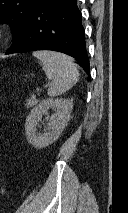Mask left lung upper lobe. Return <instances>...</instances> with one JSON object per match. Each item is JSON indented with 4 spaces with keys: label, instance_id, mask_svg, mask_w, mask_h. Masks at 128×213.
Here are the masks:
<instances>
[{
    "label": "left lung upper lobe",
    "instance_id": "5c2ea615",
    "mask_svg": "<svg viewBox=\"0 0 128 213\" xmlns=\"http://www.w3.org/2000/svg\"><path fill=\"white\" fill-rule=\"evenodd\" d=\"M38 0H0V23L10 24L13 42L18 37Z\"/></svg>",
    "mask_w": 128,
    "mask_h": 213
}]
</instances>
